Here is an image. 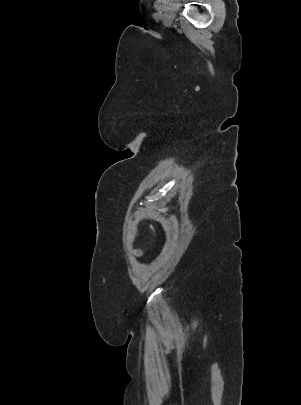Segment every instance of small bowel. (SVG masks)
Returning <instances> with one entry per match:
<instances>
[{"instance_id": "obj_1", "label": "small bowel", "mask_w": 301, "mask_h": 405, "mask_svg": "<svg viewBox=\"0 0 301 405\" xmlns=\"http://www.w3.org/2000/svg\"><path fill=\"white\" fill-rule=\"evenodd\" d=\"M140 253H141L140 250H136V251H135V255H136V256H138Z\"/></svg>"}]
</instances>
